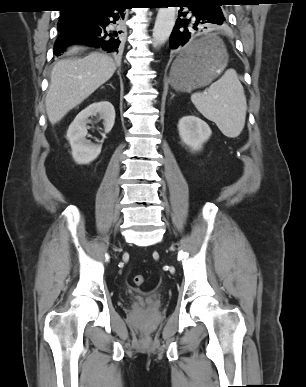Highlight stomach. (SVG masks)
Listing matches in <instances>:
<instances>
[{"mask_svg": "<svg viewBox=\"0 0 306 387\" xmlns=\"http://www.w3.org/2000/svg\"><path fill=\"white\" fill-rule=\"evenodd\" d=\"M209 44V45H207ZM206 45L207 50L187 63H182L183 53L171 68V85L176 91L190 92L211 83L226 67L228 53L222 41L212 34L195 40L189 49Z\"/></svg>", "mask_w": 306, "mask_h": 387, "instance_id": "stomach-1", "label": "stomach"}]
</instances>
